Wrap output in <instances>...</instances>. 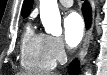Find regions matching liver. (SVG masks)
Returning a JSON list of instances; mask_svg holds the SVG:
<instances>
[{"label": "liver", "mask_w": 107, "mask_h": 75, "mask_svg": "<svg viewBox=\"0 0 107 75\" xmlns=\"http://www.w3.org/2000/svg\"><path fill=\"white\" fill-rule=\"evenodd\" d=\"M17 75H29L27 72H20ZM49 75H58V74H49Z\"/></svg>", "instance_id": "obj_1"}]
</instances>
